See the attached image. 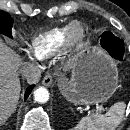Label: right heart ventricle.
Listing matches in <instances>:
<instances>
[{
  "label": "right heart ventricle",
  "instance_id": "e07e8e85",
  "mask_svg": "<svg viewBox=\"0 0 130 130\" xmlns=\"http://www.w3.org/2000/svg\"><path fill=\"white\" fill-rule=\"evenodd\" d=\"M70 24L34 36L29 44L33 57L39 60L46 59L64 48L67 45Z\"/></svg>",
  "mask_w": 130,
  "mask_h": 130
}]
</instances>
